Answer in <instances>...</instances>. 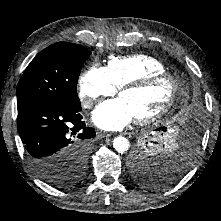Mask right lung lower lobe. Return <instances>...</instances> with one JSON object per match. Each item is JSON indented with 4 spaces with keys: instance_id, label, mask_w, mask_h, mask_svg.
<instances>
[{
    "instance_id": "1",
    "label": "right lung lower lobe",
    "mask_w": 221,
    "mask_h": 221,
    "mask_svg": "<svg viewBox=\"0 0 221 221\" xmlns=\"http://www.w3.org/2000/svg\"><path fill=\"white\" fill-rule=\"evenodd\" d=\"M80 111L81 105L52 100H32L18 107L17 129L37 175L50 165H62L76 144L95 136Z\"/></svg>"
}]
</instances>
